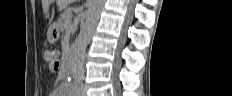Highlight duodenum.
<instances>
[{"label": "duodenum", "instance_id": "duodenum-1", "mask_svg": "<svg viewBox=\"0 0 232 96\" xmlns=\"http://www.w3.org/2000/svg\"><path fill=\"white\" fill-rule=\"evenodd\" d=\"M74 56H75V48L70 47L68 50V55L66 62L63 67V76L68 79V77L71 75V72L73 70V64H74Z\"/></svg>", "mask_w": 232, "mask_h": 96}]
</instances>
